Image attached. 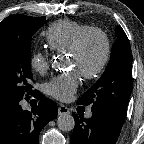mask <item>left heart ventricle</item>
<instances>
[{"instance_id": "1", "label": "left heart ventricle", "mask_w": 144, "mask_h": 144, "mask_svg": "<svg viewBox=\"0 0 144 144\" xmlns=\"http://www.w3.org/2000/svg\"><path fill=\"white\" fill-rule=\"evenodd\" d=\"M103 54V43L98 36H91L80 57H69V64L75 70H91L100 61Z\"/></svg>"}]
</instances>
